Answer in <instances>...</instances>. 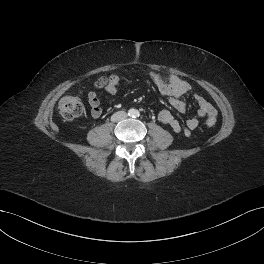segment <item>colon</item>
Wrapping results in <instances>:
<instances>
[{
	"instance_id": "obj_1",
	"label": "colon",
	"mask_w": 264,
	"mask_h": 264,
	"mask_svg": "<svg viewBox=\"0 0 264 264\" xmlns=\"http://www.w3.org/2000/svg\"><path fill=\"white\" fill-rule=\"evenodd\" d=\"M119 86V81L114 76L109 79V89L116 91ZM82 104L74 96H65L59 102V112L66 120H74L82 114ZM207 126L213 127L216 124L215 118H208L206 121Z\"/></svg>"
}]
</instances>
